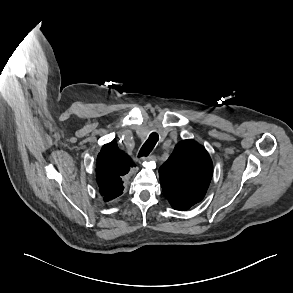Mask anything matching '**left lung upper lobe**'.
<instances>
[{"label":"left lung upper lobe","mask_w":293,"mask_h":293,"mask_svg":"<svg viewBox=\"0 0 293 293\" xmlns=\"http://www.w3.org/2000/svg\"><path fill=\"white\" fill-rule=\"evenodd\" d=\"M212 174L213 163L208 152L194 140L177 143L159 168L163 193L177 210H187L203 199Z\"/></svg>","instance_id":"obj_1"}]
</instances>
